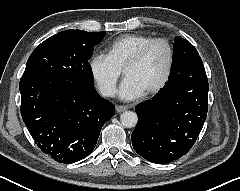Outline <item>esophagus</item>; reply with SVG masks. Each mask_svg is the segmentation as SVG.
I'll list each match as a JSON object with an SVG mask.
<instances>
[{
    "mask_svg": "<svg viewBox=\"0 0 240 191\" xmlns=\"http://www.w3.org/2000/svg\"><path fill=\"white\" fill-rule=\"evenodd\" d=\"M126 110H127V107H126V106H123V105H117V106H116V111H117L118 113L124 112V111H126Z\"/></svg>",
    "mask_w": 240,
    "mask_h": 191,
    "instance_id": "esophagus-1",
    "label": "esophagus"
}]
</instances>
